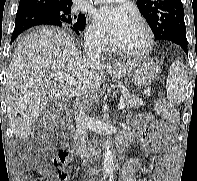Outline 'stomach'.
<instances>
[{
  "mask_svg": "<svg viewBox=\"0 0 197 181\" xmlns=\"http://www.w3.org/2000/svg\"><path fill=\"white\" fill-rule=\"evenodd\" d=\"M157 73L158 67L153 61L137 60L128 76L136 86L146 87L153 82Z\"/></svg>",
  "mask_w": 197,
  "mask_h": 181,
  "instance_id": "1",
  "label": "stomach"
}]
</instances>
